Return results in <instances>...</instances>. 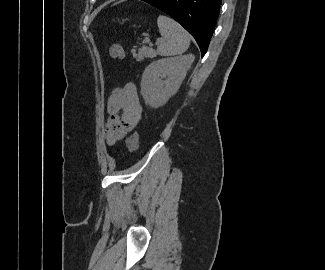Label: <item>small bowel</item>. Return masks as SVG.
Masks as SVG:
<instances>
[{
	"label": "small bowel",
	"instance_id": "c3829d8e",
	"mask_svg": "<svg viewBox=\"0 0 325 270\" xmlns=\"http://www.w3.org/2000/svg\"><path fill=\"white\" fill-rule=\"evenodd\" d=\"M106 114L105 140L112 146L122 140L142 118V106L133 82L112 91Z\"/></svg>",
	"mask_w": 325,
	"mask_h": 270
}]
</instances>
